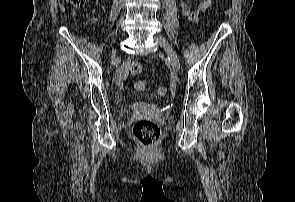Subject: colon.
<instances>
[{
	"label": "colon",
	"instance_id": "5ec220e1",
	"mask_svg": "<svg viewBox=\"0 0 295 202\" xmlns=\"http://www.w3.org/2000/svg\"><path fill=\"white\" fill-rule=\"evenodd\" d=\"M73 7L80 8L85 4L86 0H67ZM129 70L132 74H140L143 70V65L140 62L133 61L129 63ZM147 88V83L143 80H138L135 83V89L137 91H144ZM159 96H166L167 89L165 87H159L157 89ZM161 134L159 124L149 118H142L138 120L133 126V135L144 146L154 145Z\"/></svg>",
	"mask_w": 295,
	"mask_h": 202
}]
</instances>
